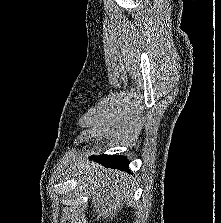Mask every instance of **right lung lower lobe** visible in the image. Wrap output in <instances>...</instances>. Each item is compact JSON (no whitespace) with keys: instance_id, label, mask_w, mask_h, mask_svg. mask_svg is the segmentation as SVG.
I'll list each match as a JSON object with an SVG mask.
<instances>
[{"instance_id":"obj_1","label":"right lung lower lobe","mask_w":221,"mask_h":223,"mask_svg":"<svg viewBox=\"0 0 221 223\" xmlns=\"http://www.w3.org/2000/svg\"><path fill=\"white\" fill-rule=\"evenodd\" d=\"M95 160L106 167L129 171V161L123 156L117 155H100L93 157Z\"/></svg>"}]
</instances>
